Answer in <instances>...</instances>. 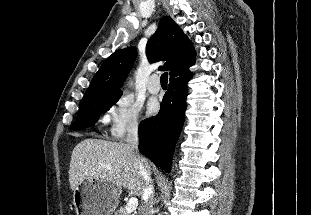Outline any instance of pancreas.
I'll return each instance as SVG.
<instances>
[{
	"instance_id": "obj_1",
	"label": "pancreas",
	"mask_w": 311,
	"mask_h": 215,
	"mask_svg": "<svg viewBox=\"0 0 311 215\" xmlns=\"http://www.w3.org/2000/svg\"><path fill=\"white\" fill-rule=\"evenodd\" d=\"M115 215H135L133 213L126 212L125 208L120 207L118 210L115 211Z\"/></svg>"
}]
</instances>
